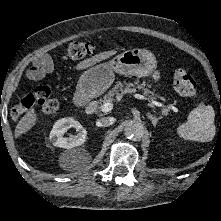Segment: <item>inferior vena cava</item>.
Listing matches in <instances>:
<instances>
[{
    "label": "inferior vena cava",
    "instance_id": "obj_1",
    "mask_svg": "<svg viewBox=\"0 0 221 221\" xmlns=\"http://www.w3.org/2000/svg\"><path fill=\"white\" fill-rule=\"evenodd\" d=\"M113 119L111 117H103L98 120L99 126L107 127L113 124Z\"/></svg>",
    "mask_w": 221,
    "mask_h": 221
}]
</instances>
